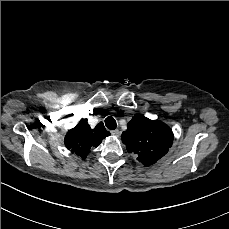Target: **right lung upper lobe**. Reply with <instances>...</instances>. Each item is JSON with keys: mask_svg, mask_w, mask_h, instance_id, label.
<instances>
[{"mask_svg": "<svg viewBox=\"0 0 229 229\" xmlns=\"http://www.w3.org/2000/svg\"><path fill=\"white\" fill-rule=\"evenodd\" d=\"M109 135L110 132L105 129L103 123H99L95 129H91L87 119H82L76 127L67 132L64 143L72 153L86 158L90 150L97 147Z\"/></svg>", "mask_w": 229, "mask_h": 229, "instance_id": "obj_1", "label": "right lung upper lobe"}]
</instances>
